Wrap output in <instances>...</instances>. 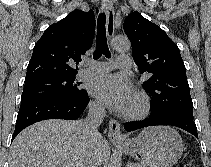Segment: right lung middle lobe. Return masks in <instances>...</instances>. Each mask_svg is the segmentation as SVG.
Here are the masks:
<instances>
[{
  "mask_svg": "<svg viewBox=\"0 0 211 167\" xmlns=\"http://www.w3.org/2000/svg\"><path fill=\"white\" fill-rule=\"evenodd\" d=\"M72 76H47L25 81L21 101L41 98H70L80 95V83Z\"/></svg>",
  "mask_w": 211,
  "mask_h": 167,
  "instance_id": "right-lung-middle-lobe-1",
  "label": "right lung middle lobe"
}]
</instances>
